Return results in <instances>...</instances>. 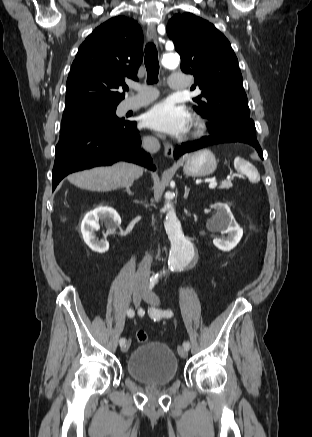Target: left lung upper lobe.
<instances>
[{
	"mask_svg": "<svg viewBox=\"0 0 312 437\" xmlns=\"http://www.w3.org/2000/svg\"><path fill=\"white\" fill-rule=\"evenodd\" d=\"M166 31L181 57V69L193 74L202 91L196 112L242 141H257L237 57L226 37L210 22L191 13L175 14Z\"/></svg>",
	"mask_w": 312,
	"mask_h": 437,
	"instance_id": "left-lung-upper-lobe-1",
	"label": "left lung upper lobe"
}]
</instances>
